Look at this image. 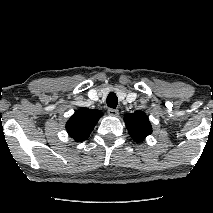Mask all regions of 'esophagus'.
Wrapping results in <instances>:
<instances>
[{"instance_id": "esophagus-1", "label": "esophagus", "mask_w": 213, "mask_h": 213, "mask_svg": "<svg viewBox=\"0 0 213 213\" xmlns=\"http://www.w3.org/2000/svg\"><path fill=\"white\" fill-rule=\"evenodd\" d=\"M107 112L110 116H117L119 114V111L113 108H109Z\"/></svg>"}]
</instances>
